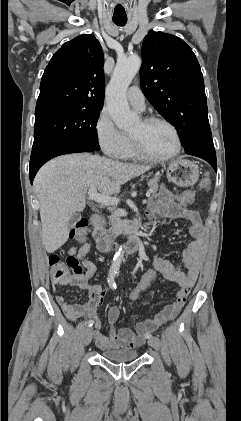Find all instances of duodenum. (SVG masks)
I'll use <instances>...</instances> for the list:
<instances>
[{"mask_svg": "<svg viewBox=\"0 0 241 421\" xmlns=\"http://www.w3.org/2000/svg\"><path fill=\"white\" fill-rule=\"evenodd\" d=\"M91 222L94 226L93 237L97 243V247L101 252H109L111 250L110 239L102 226L100 217L98 214H94L91 218ZM141 246V240L137 235H133L127 238L125 249L127 253H134L139 250Z\"/></svg>", "mask_w": 241, "mask_h": 421, "instance_id": "410a0bca", "label": "duodenum"}]
</instances>
